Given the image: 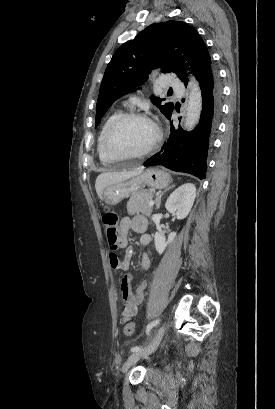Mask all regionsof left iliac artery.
Wrapping results in <instances>:
<instances>
[{"label":"left iliac artery","mask_w":275,"mask_h":409,"mask_svg":"<svg viewBox=\"0 0 275 409\" xmlns=\"http://www.w3.org/2000/svg\"><path fill=\"white\" fill-rule=\"evenodd\" d=\"M159 321H160V319H156V320L150 322V323L147 325V327H146V334H147V335H149L150 330H151L154 326L158 325ZM141 349H142V347H140V346H135V347L131 348V352H137V351H140Z\"/></svg>","instance_id":"obj_1"}]
</instances>
